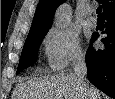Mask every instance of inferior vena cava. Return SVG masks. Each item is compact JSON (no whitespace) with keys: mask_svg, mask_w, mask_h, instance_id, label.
Segmentation results:
<instances>
[{"mask_svg":"<svg viewBox=\"0 0 115 99\" xmlns=\"http://www.w3.org/2000/svg\"><path fill=\"white\" fill-rule=\"evenodd\" d=\"M87 66L85 62L84 54H80L76 57L73 62V75L76 81V84L81 93L82 99H89V90L87 87L86 76Z\"/></svg>","mask_w":115,"mask_h":99,"instance_id":"602c4592","label":"inferior vena cava"}]
</instances>
